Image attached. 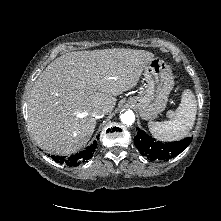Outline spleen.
<instances>
[{"instance_id":"3e777b00","label":"spleen","mask_w":221,"mask_h":221,"mask_svg":"<svg viewBox=\"0 0 221 221\" xmlns=\"http://www.w3.org/2000/svg\"><path fill=\"white\" fill-rule=\"evenodd\" d=\"M197 113V101L191 90L183 92L179 107L168 121L148 123L151 134L160 141H176L186 137L192 129Z\"/></svg>"}]
</instances>
